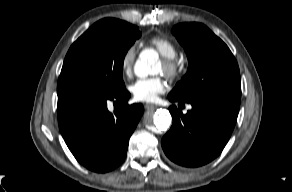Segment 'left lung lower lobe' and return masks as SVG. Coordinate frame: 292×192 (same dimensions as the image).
<instances>
[{
	"label": "left lung lower lobe",
	"mask_w": 292,
	"mask_h": 192,
	"mask_svg": "<svg viewBox=\"0 0 292 192\" xmlns=\"http://www.w3.org/2000/svg\"><path fill=\"white\" fill-rule=\"evenodd\" d=\"M168 99L189 103L192 109L183 114L175 105L170 106L173 124L161 141L166 156L184 167H199L215 159L234 129L240 98L202 96L184 101L168 95Z\"/></svg>",
	"instance_id": "left-lung-lower-lobe-1"
}]
</instances>
